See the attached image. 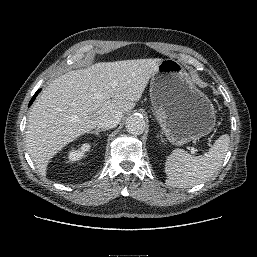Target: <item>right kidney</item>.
Listing matches in <instances>:
<instances>
[{
  "label": "right kidney",
  "mask_w": 257,
  "mask_h": 257,
  "mask_svg": "<svg viewBox=\"0 0 257 257\" xmlns=\"http://www.w3.org/2000/svg\"><path fill=\"white\" fill-rule=\"evenodd\" d=\"M90 147L91 145L89 143H84L81 145L80 148L70 150L68 153L69 161L74 162L81 159L84 156L85 152L90 150Z\"/></svg>",
  "instance_id": "1"
}]
</instances>
